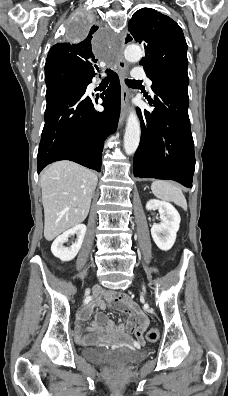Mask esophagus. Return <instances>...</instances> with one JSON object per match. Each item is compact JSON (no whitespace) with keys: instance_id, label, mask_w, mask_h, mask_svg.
<instances>
[{"instance_id":"34e87169","label":"esophagus","mask_w":228,"mask_h":396,"mask_svg":"<svg viewBox=\"0 0 228 396\" xmlns=\"http://www.w3.org/2000/svg\"><path fill=\"white\" fill-rule=\"evenodd\" d=\"M126 41H127V38L124 37L122 46H125ZM117 71H118L120 82H121V113H120L119 123L122 126L126 119V115H127L128 109H129V91L124 83V79L126 77V62L123 59V57H121L118 60Z\"/></svg>"}]
</instances>
